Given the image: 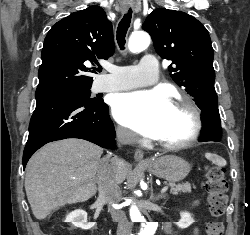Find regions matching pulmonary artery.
I'll list each match as a JSON object with an SVG mask.
<instances>
[{"label":"pulmonary artery","instance_id":"1","mask_svg":"<svg viewBox=\"0 0 250 235\" xmlns=\"http://www.w3.org/2000/svg\"><path fill=\"white\" fill-rule=\"evenodd\" d=\"M158 61L151 54L142 57L139 65L113 66L106 81L97 82L100 92H113L153 84Z\"/></svg>","mask_w":250,"mask_h":235}]
</instances>
